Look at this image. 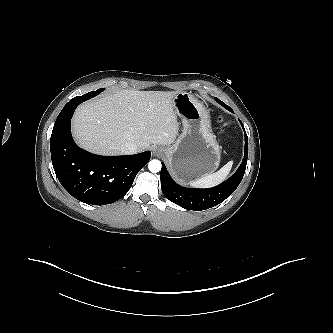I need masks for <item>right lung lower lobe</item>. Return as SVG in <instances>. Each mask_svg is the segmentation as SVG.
<instances>
[{"mask_svg": "<svg viewBox=\"0 0 333 333\" xmlns=\"http://www.w3.org/2000/svg\"><path fill=\"white\" fill-rule=\"evenodd\" d=\"M79 104L65 105L53 127L50 150L55 174L76 199L106 205L121 199L151 157L150 151L128 156H100L79 148L70 131Z\"/></svg>", "mask_w": 333, "mask_h": 333, "instance_id": "98d812e1", "label": "right lung lower lobe"}]
</instances>
